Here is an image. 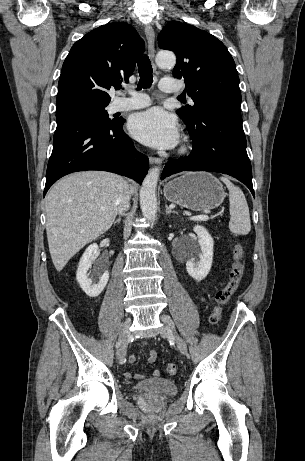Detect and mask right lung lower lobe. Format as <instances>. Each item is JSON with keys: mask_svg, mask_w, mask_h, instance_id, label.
Returning <instances> with one entry per match:
<instances>
[{"mask_svg": "<svg viewBox=\"0 0 305 461\" xmlns=\"http://www.w3.org/2000/svg\"><path fill=\"white\" fill-rule=\"evenodd\" d=\"M56 121L44 196L61 177L83 170L109 171L142 183L149 160L136 151L124 133L123 118L104 124L82 116L62 115Z\"/></svg>", "mask_w": 305, "mask_h": 461, "instance_id": "obj_1", "label": "right lung lower lobe"}]
</instances>
